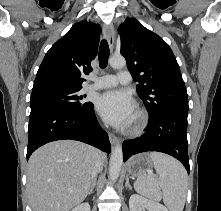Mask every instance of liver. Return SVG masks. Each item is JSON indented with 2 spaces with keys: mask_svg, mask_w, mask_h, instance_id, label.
Wrapping results in <instances>:
<instances>
[{
  "mask_svg": "<svg viewBox=\"0 0 221 211\" xmlns=\"http://www.w3.org/2000/svg\"><path fill=\"white\" fill-rule=\"evenodd\" d=\"M95 149L59 140L38 148L27 165V193L32 211H70L83 202L93 183ZM105 161V154L100 162Z\"/></svg>",
  "mask_w": 221,
  "mask_h": 211,
  "instance_id": "6515ba94",
  "label": "liver"
}]
</instances>
